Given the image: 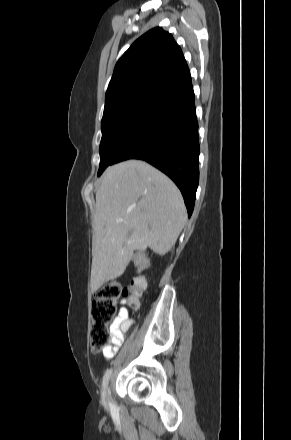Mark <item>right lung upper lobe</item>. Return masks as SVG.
Segmentation results:
<instances>
[{
	"mask_svg": "<svg viewBox=\"0 0 291 440\" xmlns=\"http://www.w3.org/2000/svg\"><path fill=\"white\" fill-rule=\"evenodd\" d=\"M190 75L172 35L157 27L138 38L118 60L105 105L138 96L156 97Z\"/></svg>",
	"mask_w": 291,
	"mask_h": 440,
	"instance_id": "obj_1",
	"label": "right lung upper lobe"
}]
</instances>
